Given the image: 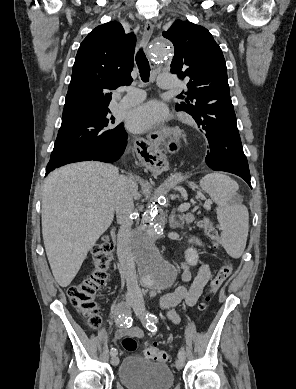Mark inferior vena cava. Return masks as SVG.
Segmentation results:
<instances>
[{"label":"inferior vena cava","mask_w":296,"mask_h":389,"mask_svg":"<svg viewBox=\"0 0 296 389\" xmlns=\"http://www.w3.org/2000/svg\"><path fill=\"white\" fill-rule=\"evenodd\" d=\"M133 195V180L120 175L115 188V211L117 220L121 224L118 233L119 260L126 279L127 298L133 301H141L142 293L138 286L135 264L130 253L131 227L133 224L131 215L134 211Z\"/></svg>","instance_id":"602c4592"}]
</instances>
